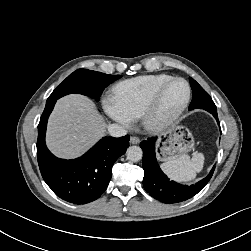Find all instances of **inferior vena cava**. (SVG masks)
Here are the masks:
<instances>
[{
    "instance_id": "602c4592",
    "label": "inferior vena cava",
    "mask_w": 251,
    "mask_h": 251,
    "mask_svg": "<svg viewBox=\"0 0 251 251\" xmlns=\"http://www.w3.org/2000/svg\"><path fill=\"white\" fill-rule=\"evenodd\" d=\"M108 133L112 137H122L127 134V130L119 124H111L108 126Z\"/></svg>"
}]
</instances>
